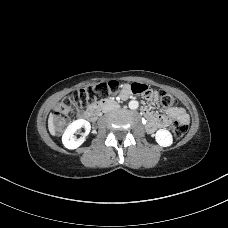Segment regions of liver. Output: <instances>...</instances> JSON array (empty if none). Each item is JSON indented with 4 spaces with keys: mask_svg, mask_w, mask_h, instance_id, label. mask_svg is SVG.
I'll use <instances>...</instances> for the list:
<instances>
[{
    "mask_svg": "<svg viewBox=\"0 0 228 228\" xmlns=\"http://www.w3.org/2000/svg\"><path fill=\"white\" fill-rule=\"evenodd\" d=\"M48 129H49V132L52 136L55 135V126H54V121H53V115L50 114L49 115V118H48Z\"/></svg>",
    "mask_w": 228,
    "mask_h": 228,
    "instance_id": "obj_1",
    "label": "liver"
}]
</instances>
